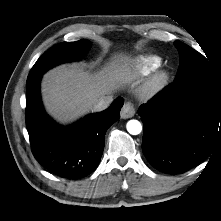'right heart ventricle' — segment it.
Segmentation results:
<instances>
[{
    "label": "right heart ventricle",
    "mask_w": 221,
    "mask_h": 221,
    "mask_svg": "<svg viewBox=\"0 0 221 221\" xmlns=\"http://www.w3.org/2000/svg\"><path fill=\"white\" fill-rule=\"evenodd\" d=\"M161 65V58L156 55L137 57L131 65L130 72L135 76L148 75Z\"/></svg>",
    "instance_id": "e07e8e85"
}]
</instances>
